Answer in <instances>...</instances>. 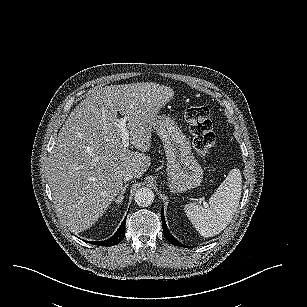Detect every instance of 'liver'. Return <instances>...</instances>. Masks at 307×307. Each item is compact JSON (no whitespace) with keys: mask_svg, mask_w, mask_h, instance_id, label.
Listing matches in <instances>:
<instances>
[{"mask_svg":"<svg viewBox=\"0 0 307 307\" xmlns=\"http://www.w3.org/2000/svg\"><path fill=\"white\" fill-rule=\"evenodd\" d=\"M170 87L152 82L109 85L89 92L69 114L51 151L48 183L55 212L73 233L90 227L119 194L123 176L140 178L151 158L154 117L172 97ZM129 141L124 149L117 112Z\"/></svg>","mask_w":307,"mask_h":307,"instance_id":"obj_1","label":"liver"}]
</instances>
